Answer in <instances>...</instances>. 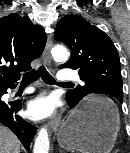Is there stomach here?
Wrapping results in <instances>:
<instances>
[{"mask_svg":"<svg viewBox=\"0 0 130 153\" xmlns=\"http://www.w3.org/2000/svg\"><path fill=\"white\" fill-rule=\"evenodd\" d=\"M88 114H83L85 111ZM120 129V116L114 103L104 97L87 98L62 123L59 145L81 153H110Z\"/></svg>","mask_w":130,"mask_h":153,"instance_id":"stomach-1","label":"stomach"}]
</instances>
